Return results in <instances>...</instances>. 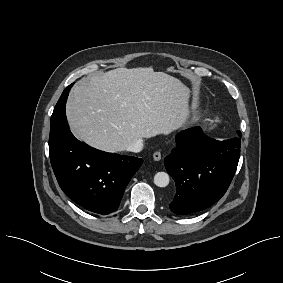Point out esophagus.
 I'll return each mask as SVG.
<instances>
[{"instance_id":"34e87169","label":"esophagus","mask_w":283,"mask_h":283,"mask_svg":"<svg viewBox=\"0 0 283 283\" xmlns=\"http://www.w3.org/2000/svg\"><path fill=\"white\" fill-rule=\"evenodd\" d=\"M153 159L159 161L161 159V153L159 151L154 152Z\"/></svg>"}]
</instances>
